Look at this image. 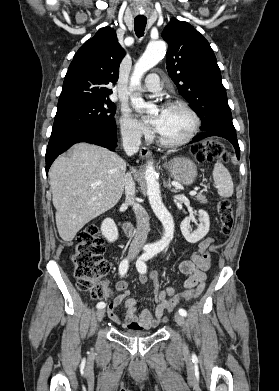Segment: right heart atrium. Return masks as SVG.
I'll list each match as a JSON object with an SVG mask.
<instances>
[{"label":"right heart atrium","instance_id":"obj_1","mask_svg":"<svg viewBox=\"0 0 279 391\" xmlns=\"http://www.w3.org/2000/svg\"><path fill=\"white\" fill-rule=\"evenodd\" d=\"M120 128L124 138L129 141H139L142 137L148 136L150 133L145 125L127 111L121 114Z\"/></svg>","mask_w":279,"mask_h":391}]
</instances>
